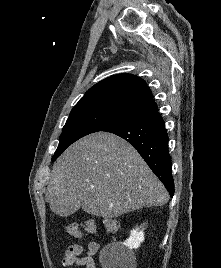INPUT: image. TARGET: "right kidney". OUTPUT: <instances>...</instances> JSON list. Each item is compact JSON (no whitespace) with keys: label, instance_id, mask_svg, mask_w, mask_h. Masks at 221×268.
Wrapping results in <instances>:
<instances>
[{"label":"right kidney","instance_id":"ca27d5eb","mask_svg":"<svg viewBox=\"0 0 221 268\" xmlns=\"http://www.w3.org/2000/svg\"><path fill=\"white\" fill-rule=\"evenodd\" d=\"M144 241V232L135 228L131 231L130 237L125 241V245L131 249H137Z\"/></svg>","mask_w":221,"mask_h":268}]
</instances>
